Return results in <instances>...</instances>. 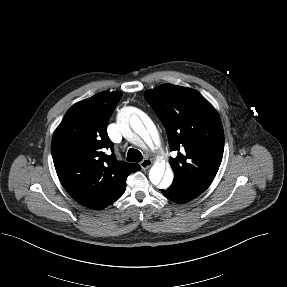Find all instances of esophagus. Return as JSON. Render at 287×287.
I'll list each match as a JSON object with an SVG mask.
<instances>
[{
    "label": "esophagus",
    "instance_id": "1",
    "mask_svg": "<svg viewBox=\"0 0 287 287\" xmlns=\"http://www.w3.org/2000/svg\"><path fill=\"white\" fill-rule=\"evenodd\" d=\"M152 164H153V162H152V160L149 159V158H145V159L140 163L141 168H142L143 170L148 169L149 167L152 166Z\"/></svg>",
    "mask_w": 287,
    "mask_h": 287
}]
</instances>
